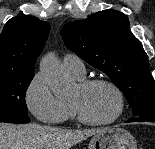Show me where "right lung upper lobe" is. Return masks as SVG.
Wrapping results in <instances>:
<instances>
[{
	"label": "right lung upper lobe",
	"instance_id": "cb5924a9",
	"mask_svg": "<svg viewBox=\"0 0 155 149\" xmlns=\"http://www.w3.org/2000/svg\"><path fill=\"white\" fill-rule=\"evenodd\" d=\"M50 24L31 15L10 19L0 35V76L34 71Z\"/></svg>",
	"mask_w": 155,
	"mask_h": 149
}]
</instances>
